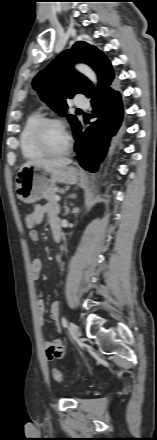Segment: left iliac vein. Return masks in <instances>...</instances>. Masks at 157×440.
<instances>
[{
	"label": "left iliac vein",
	"instance_id": "obj_1",
	"mask_svg": "<svg viewBox=\"0 0 157 440\" xmlns=\"http://www.w3.org/2000/svg\"><path fill=\"white\" fill-rule=\"evenodd\" d=\"M69 330H70V333L72 334V336L74 337V339L79 341L80 334H79V330H78L77 326L74 323H70Z\"/></svg>",
	"mask_w": 157,
	"mask_h": 440
}]
</instances>
